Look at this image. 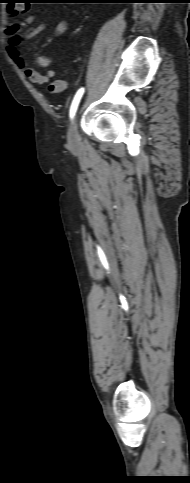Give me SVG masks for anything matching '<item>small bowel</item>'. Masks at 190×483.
I'll list each match as a JSON object with an SVG mask.
<instances>
[{"label": "small bowel", "instance_id": "c3829d8e", "mask_svg": "<svg viewBox=\"0 0 190 483\" xmlns=\"http://www.w3.org/2000/svg\"><path fill=\"white\" fill-rule=\"evenodd\" d=\"M34 21V17H28L23 22H15L10 24L5 33L8 36L6 44V52L14 64L21 69L24 74L34 83L44 84L51 81L49 85V91L51 93H60L67 87V81L65 79H54L55 73L52 70L46 73H40L36 68L28 66L27 60L20 52V33L23 28L29 26ZM46 29L45 24H38L34 27L29 28L25 32V36L29 39L35 38L40 35ZM67 29V24L65 21L56 20L53 23V33L55 35H62ZM33 62L40 67H48L51 65L52 60L45 56H36L33 58Z\"/></svg>", "mask_w": 190, "mask_h": 483}]
</instances>
